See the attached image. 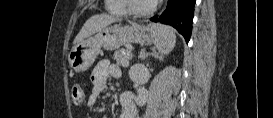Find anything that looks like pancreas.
I'll use <instances>...</instances> for the list:
<instances>
[{
	"label": "pancreas",
	"mask_w": 273,
	"mask_h": 118,
	"mask_svg": "<svg viewBox=\"0 0 273 118\" xmlns=\"http://www.w3.org/2000/svg\"><path fill=\"white\" fill-rule=\"evenodd\" d=\"M123 52L131 54V50L126 48L115 51L113 56L118 65L126 68L129 66V60L131 59V55L130 56L124 55Z\"/></svg>",
	"instance_id": "cf45deb5"
}]
</instances>
